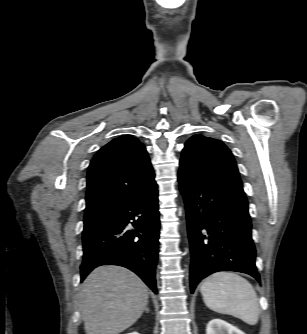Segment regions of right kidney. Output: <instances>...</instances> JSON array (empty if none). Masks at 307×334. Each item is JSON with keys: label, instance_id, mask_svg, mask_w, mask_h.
Segmentation results:
<instances>
[{"label": "right kidney", "instance_id": "obj_1", "mask_svg": "<svg viewBox=\"0 0 307 334\" xmlns=\"http://www.w3.org/2000/svg\"><path fill=\"white\" fill-rule=\"evenodd\" d=\"M128 334H139L138 332H132V333H128Z\"/></svg>", "mask_w": 307, "mask_h": 334}]
</instances>
